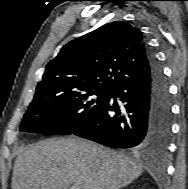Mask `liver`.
<instances>
[{"instance_id": "1", "label": "liver", "mask_w": 188, "mask_h": 189, "mask_svg": "<svg viewBox=\"0 0 188 189\" xmlns=\"http://www.w3.org/2000/svg\"><path fill=\"white\" fill-rule=\"evenodd\" d=\"M143 168L125 155L81 138H51L24 147L15 160L12 189H119Z\"/></svg>"}]
</instances>
